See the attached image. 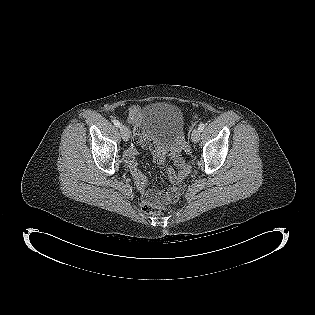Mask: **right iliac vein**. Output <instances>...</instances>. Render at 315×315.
Masks as SVG:
<instances>
[{
  "label": "right iliac vein",
  "mask_w": 315,
  "mask_h": 315,
  "mask_svg": "<svg viewBox=\"0 0 315 315\" xmlns=\"http://www.w3.org/2000/svg\"><path fill=\"white\" fill-rule=\"evenodd\" d=\"M120 133H121L122 139L124 141H128L129 140L130 132H129V129L126 126H121L120 127Z\"/></svg>",
  "instance_id": "right-iliac-vein-1"
}]
</instances>
